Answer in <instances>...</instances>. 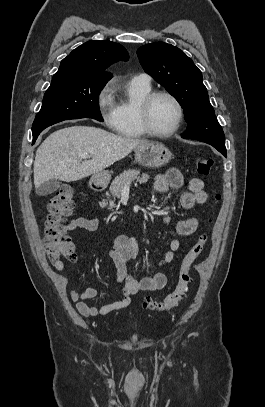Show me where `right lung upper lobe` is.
<instances>
[{
    "mask_svg": "<svg viewBox=\"0 0 265 407\" xmlns=\"http://www.w3.org/2000/svg\"><path fill=\"white\" fill-rule=\"evenodd\" d=\"M128 59L127 50L118 43L107 40L88 41L61 61L54 76L67 75L76 80L107 82L112 75L105 72L106 68Z\"/></svg>",
    "mask_w": 265,
    "mask_h": 407,
    "instance_id": "obj_1",
    "label": "right lung upper lobe"
}]
</instances>
